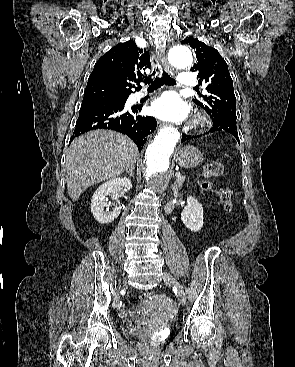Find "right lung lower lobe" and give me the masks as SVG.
I'll list each match as a JSON object with an SVG mask.
<instances>
[{"label":"right lung lower lobe","instance_id":"1","mask_svg":"<svg viewBox=\"0 0 295 367\" xmlns=\"http://www.w3.org/2000/svg\"><path fill=\"white\" fill-rule=\"evenodd\" d=\"M124 106L125 103L115 102L82 103L70 142L90 130L111 129L129 136L141 151L157 122L153 117L137 115L142 109L141 106H134L130 110Z\"/></svg>","mask_w":295,"mask_h":367}]
</instances>
